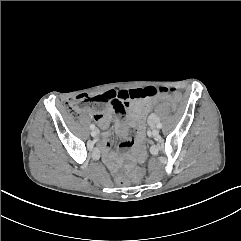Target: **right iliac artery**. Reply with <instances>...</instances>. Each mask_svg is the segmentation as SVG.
Here are the masks:
<instances>
[{
  "label": "right iliac artery",
  "instance_id": "obj_1",
  "mask_svg": "<svg viewBox=\"0 0 241 241\" xmlns=\"http://www.w3.org/2000/svg\"><path fill=\"white\" fill-rule=\"evenodd\" d=\"M90 128L93 130V129H95V125L94 124H91L90 125Z\"/></svg>",
  "mask_w": 241,
  "mask_h": 241
}]
</instances>
